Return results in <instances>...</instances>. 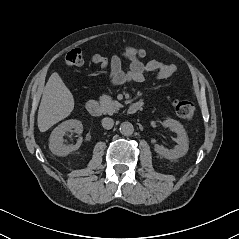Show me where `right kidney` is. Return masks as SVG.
<instances>
[{
	"mask_svg": "<svg viewBox=\"0 0 239 239\" xmlns=\"http://www.w3.org/2000/svg\"><path fill=\"white\" fill-rule=\"evenodd\" d=\"M72 129H74L80 135L83 131V125L79 120L71 119L62 122L52 131L49 138V149L53 154L58 156H66L70 152L75 151L80 147L82 142L81 137L75 145L67 146L63 143L64 134Z\"/></svg>",
	"mask_w": 239,
	"mask_h": 239,
	"instance_id": "1",
	"label": "right kidney"
}]
</instances>
